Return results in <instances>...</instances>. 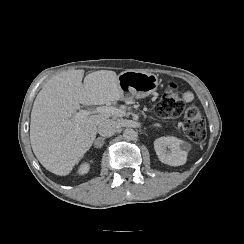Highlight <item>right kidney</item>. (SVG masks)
<instances>
[{"label": "right kidney", "instance_id": "right-kidney-1", "mask_svg": "<svg viewBox=\"0 0 244 244\" xmlns=\"http://www.w3.org/2000/svg\"><path fill=\"white\" fill-rule=\"evenodd\" d=\"M89 169H90V164L88 162H84L80 165V167L78 169V174L84 175V174L88 173Z\"/></svg>", "mask_w": 244, "mask_h": 244}]
</instances>
